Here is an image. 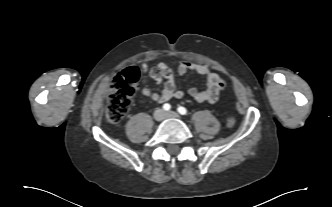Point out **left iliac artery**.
Here are the masks:
<instances>
[{"mask_svg": "<svg viewBox=\"0 0 332 207\" xmlns=\"http://www.w3.org/2000/svg\"><path fill=\"white\" fill-rule=\"evenodd\" d=\"M177 111H178L181 115H187V110H186L185 107L180 106V107L177 108Z\"/></svg>", "mask_w": 332, "mask_h": 207, "instance_id": "44dca946", "label": "left iliac artery"}]
</instances>
